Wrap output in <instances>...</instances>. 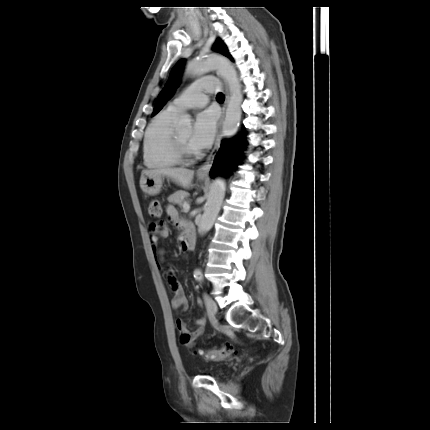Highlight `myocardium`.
<instances>
[{"mask_svg":"<svg viewBox=\"0 0 430 430\" xmlns=\"http://www.w3.org/2000/svg\"><path fill=\"white\" fill-rule=\"evenodd\" d=\"M172 148L179 162H190L198 156L195 150L190 149L181 141L176 130H174L172 135Z\"/></svg>","mask_w":430,"mask_h":430,"instance_id":"f54148a6","label":"myocardium"}]
</instances>
